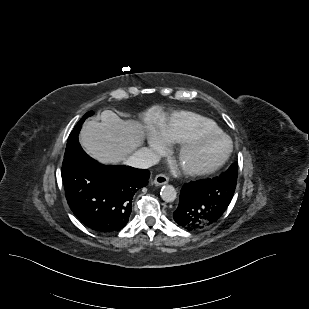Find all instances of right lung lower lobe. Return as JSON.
I'll use <instances>...</instances> for the list:
<instances>
[{"instance_id": "98d812e1", "label": "right lung lower lobe", "mask_w": 309, "mask_h": 309, "mask_svg": "<svg viewBox=\"0 0 309 309\" xmlns=\"http://www.w3.org/2000/svg\"><path fill=\"white\" fill-rule=\"evenodd\" d=\"M80 120L67 140L62 179L69 207L90 229L120 231L129 221L136 191L148 184L150 172L130 166H105L89 157L78 142Z\"/></svg>"}]
</instances>
